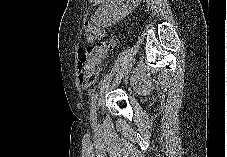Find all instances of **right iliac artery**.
Here are the masks:
<instances>
[{"mask_svg": "<svg viewBox=\"0 0 227 157\" xmlns=\"http://www.w3.org/2000/svg\"><path fill=\"white\" fill-rule=\"evenodd\" d=\"M96 97L97 95H95L92 99V102H91V109H90V120H91V123L93 125V127H96Z\"/></svg>", "mask_w": 227, "mask_h": 157, "instance_id": "82829eb1", "label": "right iliac artery"}]
</instances>
